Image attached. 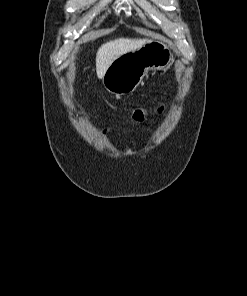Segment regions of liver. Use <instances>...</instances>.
Masks as SVG:
<instances>
[{"label":"liver","mask_w":247,"mask_h":296,"mask_svg":"<svg viewBox=\"0 0 247 296\" xmlns=\"http://www.w3.org/2000/svg\"><path fill=\"white\" fill-rule=\"evenodd\" d=\"M146 39L118 38L101 45L96 53V73L102 79L111 63L119 56L139 49Z\"/></svg>","instance_id":"6515ba94"}]
</instances>
